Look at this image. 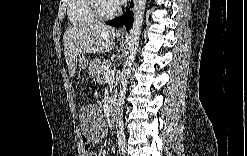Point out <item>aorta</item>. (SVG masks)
<instances>
[{
  "label": "aorta",
  "instance_id": "762f6f07",
  "mask_svg": "<svg viewBox=\"0 0 247 156\" xmlns=\"http://www.w3.org/2000/svg\"><path fill=\"white\" fill-rule=\"evenodd\" d=\"M146 4L147 0H134V20L129 34L128 56L126 58V61L124 62L123 69L121 72L120 89L117 100V121L120 125L123 123L122 117L123 107L125 103V95L129 83L131 66L139 45Z\"/></svg>",
  "mask_w": 247,
  "mask_h": 156
}]
</instances>
